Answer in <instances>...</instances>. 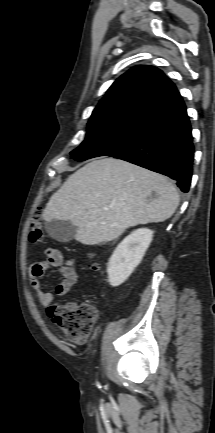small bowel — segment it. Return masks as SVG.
<instances>
[{
	"label": "small bowel",
	"instance_id": "small-bowel-1",
	"mask_svg": "<svg viewBox=\"0 0 215 433\" xmlns=\"http://www.w3.org/2000/svg\"><path fill=\"white\" fill-rule=\"evenodd\" d=\"M76 261V258H64L59 250L50 248L46 251L44 260L33 261L30 264L28 268L29 280L43 306H49L53 302V292L59 296H64L77 285L79 274L74 268ZM52 269L58 270L62 276L53 292L45 290L42 282L46 272Z\"/></svg>",
	"mask_w": 215,
	"mask_h": 433
}]
</instances>
